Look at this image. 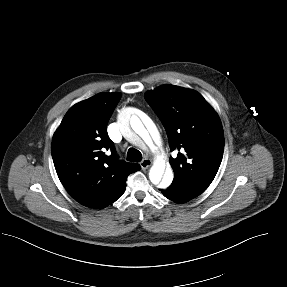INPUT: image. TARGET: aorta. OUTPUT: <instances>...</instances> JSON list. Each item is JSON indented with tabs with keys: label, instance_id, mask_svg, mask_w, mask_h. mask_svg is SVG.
I'll return each mask as SVG.
<instances>
[{
	"label": "aorta",
	"instance_id": "obj_1",
	"mask_svg": "<svg viewBox=\"0 0 287 287\" xmlns=\"http://www.w3.org/2000/svg\"><path fill=\"white\" fill-rule=\"evenodd\" d=\"M130 125L134 132L138 134L150 147H152L151 137L154 140L159 139L158 129L147 115L142 116V121L138 116L132 115L130 118ZM173 177V171L170 166L165 168V163L158 160L154 162L149 171L150 181L155 185H159L161 188H167L170 186L173 181Z\"/></svg>",
	"mask_w": 287,
	"mask_h": 287
}]
</instances>
